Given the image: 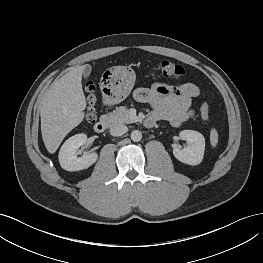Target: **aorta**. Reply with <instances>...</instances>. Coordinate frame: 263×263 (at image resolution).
Masks as SVG:
<instances>
[{
  "instance_id": "762f6f07",
  "label": "aorta",
  "mask_w": 263,
  "mask_h": 263,
  "mask_svg": "<svg viewBox=\"0 0 263 263\" xmlns=\"http://www.w3.org/2000/svg\"><path fill=\"white\" fill-rule=\"evenodd\" d=\"M131 139L134 142H139L142 139V133L139 130H134L131 132Z\"/></svg>"
}]
</instances>
